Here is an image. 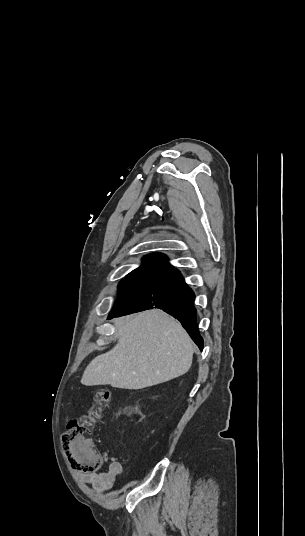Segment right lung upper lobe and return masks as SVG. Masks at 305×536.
<instances>
[{
    "label": "right lung upper lobe",
    "mask_w": 305,
    "mask_h": 536,
    "mask_svg": "<svg viewBox=\"0 0 305 536\" xmlns=\"http://www.w3.org/2000/svg\"><path fill=\"white\" fill-rule=\"evenodd\" d=\"M167 260L168 258L161 253L146 255L142 259L143 264L126 277H160L165 279L178 274L179 271L172 268Z\"/></svg>",
    "instance_id": "cb5924a9"
}]
</instances>
